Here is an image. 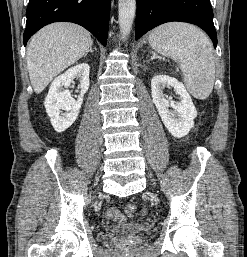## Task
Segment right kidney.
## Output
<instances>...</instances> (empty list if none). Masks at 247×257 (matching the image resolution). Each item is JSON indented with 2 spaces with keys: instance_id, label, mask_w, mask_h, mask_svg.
<instances>
[{
  "instance_id": "obj_1",
  "label": "right kidney",
  "mask_w": 247,
  "mask_h": 257,
  "mask_svg": "<svg viewBox=\"0 0 247 257\" xmlns=\"http://www.w3.org/2000/svg\"><path fill=\"white\" fill-rule=\"evenodd\" d=\"M89 70L90 67L87 63H80L68 69L51 83L44 105L56 132L65 131L77 119L83 103V96L89 89ZM74 78L80 79L81 93L77 100L71 97L68 90H62L63 87H69ZM61 110L66 113L61 114Z\"/></svg>"
}]
</instances>
